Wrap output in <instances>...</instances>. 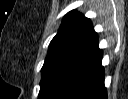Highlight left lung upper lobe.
<instances>
[{
    "mask_svg": "<svg viewBox=\"0 0 128 99\" xmlns=\"http://www.w3.org/2000/svg\"><path fill=\"white\" fill-rule=\"evenodd\" d=\"M95 31L90 20L76 10L69 12L52 39L42 67V78L38 98L41 99L57 70L70 59L93 35Z\"/></svg>",
    "mask_w": 128,
    "mask_h": 99,
    "instance_id": "1",
    "label": "left lung upper lobe"
}]
</instances>
